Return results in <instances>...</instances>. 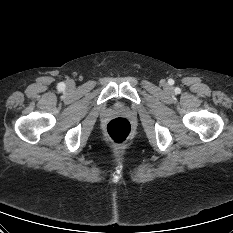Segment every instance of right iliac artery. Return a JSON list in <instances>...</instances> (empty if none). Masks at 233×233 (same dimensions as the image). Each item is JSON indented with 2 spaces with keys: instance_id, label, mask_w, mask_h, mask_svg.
Listing matches in <instances>:
<instances>
[{
  "instance_id": "82829eb1",
  "label": "right iliac artery",
  "mask_w": 233,
  "mask_h": 233,
  "mask_svg": "<svg viewBox=\"0 0 233 233\" xmlns=\"http://www.w3.org/2000/svg\"><path fill=\"white\" fill-rule=\"evenodd\" d=\"M58 88H59V90H63L65 88V84L64 83H60L58 85Z\"/></svg>"
}]
</instances>
